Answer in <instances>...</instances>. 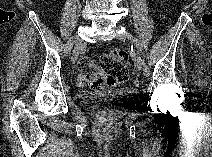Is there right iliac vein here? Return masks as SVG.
Instances as JSON below:
<instances>
[{
    "label": "right iliac vein",
    "mask_w": 212,
    "mask_h": 157,
    "mask_svg": "<svg viewBox=\"0 0 212 157\" xmlns=\"http://www.w3.org/2000/svg\"><path fill=\"white\" fill-rule=\"evenodd\" d=\"M82 47V41L79 37H74V49L71 57V61L74 64L77 61L78 55Z\"/></svg>",
    "instance_id": "obj_1"
}]
</instances>
